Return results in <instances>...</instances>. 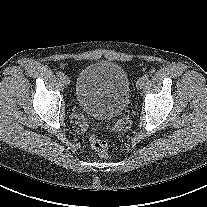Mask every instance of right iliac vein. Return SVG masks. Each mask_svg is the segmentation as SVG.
I'll use <instances>...</instances> for the list:
<instances>
[{"instance_id":"1","label":"right iliac vein","mask_w":207,"mask_h":207,"mask_svg":"<svg viewBox=\"0 0 207 207\" xmlns=\"http://www.w3.org/2000/svg\"><path fill=\"white\" fill-rule=\"evenodd\" d=\"M61 81H62V83H63L64 85H66V86L70 84V79H69V77L66 76V75H63V76L61 77Z\"/></svg>"}]
</instances>
